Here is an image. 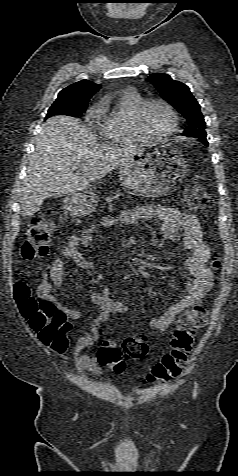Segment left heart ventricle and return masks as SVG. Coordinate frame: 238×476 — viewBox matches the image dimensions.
<instances>
[{
    "instance_id": "1",
    "label": "left heart ventricle",
    "mask_w": 238,
    "mask_h": 476,
    "mask_svg": "<svg viewBox=\"0 0 238 476\" xmlns=\"http://www.w3.org/2000/svg\"><path fill=\"white\" fill-rule=\"evenodd\" d=\"M143 125L151 136L160 137L169 130L171 117L165 107L152 104L144 113Z\"/></svg>"
}]
</instances>
